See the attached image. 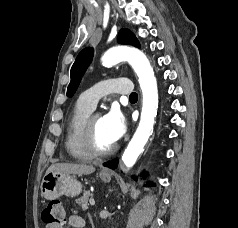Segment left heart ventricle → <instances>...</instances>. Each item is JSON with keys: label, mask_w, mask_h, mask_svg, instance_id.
<instances>
[{"label": "left heart ventricle", "mask_w": 238, "mask_h": 228, "mask_svg": "<svg viewBox=\"0 0 238 228\" xmlns=\"http://www.w3.org/2000/svg\"><path fill=\"white\" fill-rule=\"evenodd\" d=\"M94 133L95 142L99 149L105 150L114 145V142L107 134L103 123V118L101 116L96 117L94 120Z\"/></svg>", "instance_id": "left-heart-ventricle-1"}]
</instances>
